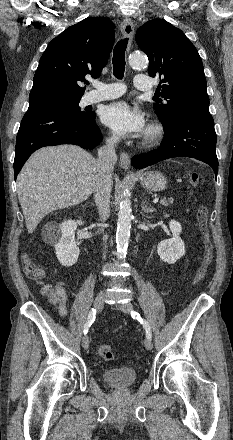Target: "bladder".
<instances>
[{"label": "bladder", "mask_w": 233, "mask_h": 440, "mask_svg": "<svg viewBox=\"0 0 233 440\" xmlns=\"http://www.w3.org/2000/svg\"><path fill=\"white\" fill-rule=\"evenodd\" d=\"M105 383L114 388H127L132 386L137 379V372L131 367H118L102 372Z\"/></svg>", "instance_id": "bladder-1"}]
</instances>
